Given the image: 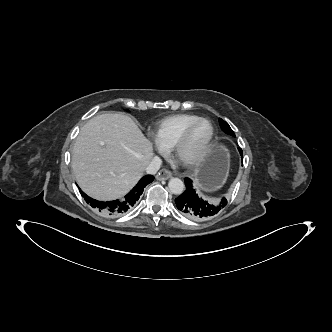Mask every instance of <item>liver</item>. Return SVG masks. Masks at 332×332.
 I'll return each mask as SVG.
<instances>
[{"label":"liver","mask_w":332,"mask_h":332,"mask_svg":"<svg viewBox=\"0 0 332 332\" xmlns=\"http://www.w3.org/2000/svg\"><path fill=\"white\" fill-rule=\"evenodd\" d=\"M153 156L151 143L124 114L91 118L75 141L71 166L81 189L97 200L126 195Z\"/></svg>","instance_id":"1"}]
</instances>
